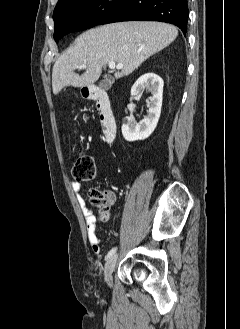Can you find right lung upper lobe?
I'll return each instance as SVG.
<instances>
[{"label": "right lung upper lobe", "mask_w": 240, "mask_h": 329, "mask_svg": "<svg viewBox=\"0 0 240 329\" xmlns=\"http://www.w3.org/2000/svg\"><path fill=\"white\" fill-rule=\"evenodd\" d=\"M68 1H70V0H58V3H57V5H56L55 9L61 7L62 5H64V4H65L66 2H68ZM55 9H54V10H55Z\"/></svg>", "instance_id": "cb5924a9"}]
</instances>
